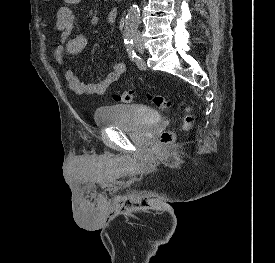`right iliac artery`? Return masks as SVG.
<instances>
[{"instance_id":"82829eb1","label":"right iliac artery","mask_w":275,"mask_h":263,"mask_svg":"<svg viewBox=\"0 0 275 263\" xmlns=\"http://www.w3.org/2000/svg\"><path fill=\"white\" fill-rule=\"evenodd\" d=\"M124 42L127 46V51L132 58V60H135L137 58L135 50H134V29L133 28H126L124 30Z\"/></svg>"}]
</instances>
